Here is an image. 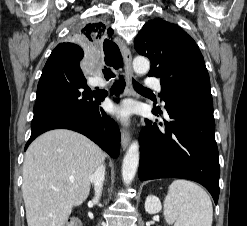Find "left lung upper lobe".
Returning <instances> with one entry per match:
<instances>
[{
    "label": "left lung upper lobe",
    "instance_id": "1",
    "mask_svg": "<svg viewBox=\"0 0 247 226\" xmlns=\"http://www.w3.org/2000/svg\"><path fill=\"white\" fill-rule=\"evenodd\" d=\"M140 55L149 58V76L160 77L162 95L178 85H210L204 58L195 41L179 26L156 18L147 22L134 40Z\"/></svg>",
    "mask_w": 247,
    "mask_h": 226
}]
</instances>
